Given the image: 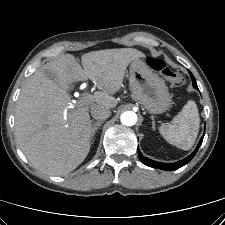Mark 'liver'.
Segmentation results:
<instances>
[{
	"label": "liver",
	"mask_w": 225,
	"mask_h": 225,
	"mask_svg": "<svg viewBox=\"0 0 225 225\" xmlns=\"http://www.w3.org/2000/svg\"><path fill=\"white\" fill-rule=\"evenodd\" d=\"M145 54L133 48L88 52L82 67L71 54L48 62L32 74L23 86L15 111V134L20 149L38 170L63 176L76 169L90 151L93 106L114 108L112 96L123 83L128 65ZM48 70L58 77L49 79ZM90 79L98 89L89 103H71L73 83ZM73 106L72 108H68Z\"/></svg>",
	"instance_id": "6515ba94"
}]
</instances>
